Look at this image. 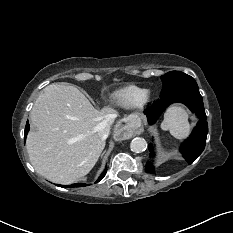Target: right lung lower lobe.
<instances>
[{
    "instance_id": "98d812e1",
    "label": "right lung lower lobe",
    "mask_w": 233,
    "mask_h": 233,
    "mask_svg": "<svg viewBox=\"0 0 233 233\" xmlns=\"http://www.w3.org/2000/svg\"><path fill=\"white\" fill-rule=\"evenodd\" d=\"M29 128H30V126H29V123L27 122L26 123V127H25V132H24V140L26 139V136H27V133H28V131H29ZM106 171H107V168L104 170V172L101 174V176L99 177V179L97 180V182L98 181H100L104 176H105V174H106ZM58 186H61V187H64V188H66V187H80V186H86V184H82V183H76V184H72V185H69V186H63V185H58Z\"/></svg>"
}]
</instances>
